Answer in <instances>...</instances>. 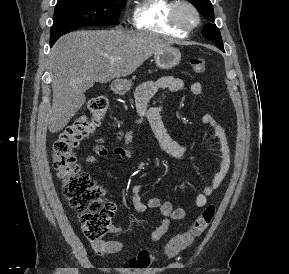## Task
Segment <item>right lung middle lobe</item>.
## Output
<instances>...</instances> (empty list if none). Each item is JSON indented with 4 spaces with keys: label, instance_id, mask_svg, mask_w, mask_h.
Masks as SVG:
<instances>
[{
    "label": "right lung middle lobe",
    "instance_id": "obj_1",
    "mask_svg": "<svg viewBox=\"0 0 289 274\" xmlns=\"http://www.w3.org/2000/svg\"><path fill=\"white\" fill-rule=\"evenodd\" d=\"M125 4L126 0H58L50 45L61 35L82 26L116 24Z\"/></svg>",
    "mask_w": 289,
    "mask_h": 274
}]
</instances>
